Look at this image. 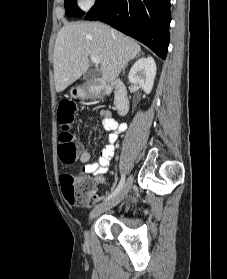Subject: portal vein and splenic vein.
I'll list each match as a JSON object with an SVG mask.
<instances>
[{"mask_svg":"<svg viewBox=\"0 0 227 279\" xmlns=\"http://www.w3.org/2000/svg\"><path fill=\"white\" fill-rule=\"evenodd\" d=\"M91 61H92L95 65H98V64L101 62L100 58L97 57V56H91Z\"/></svg>","mask_w":227,"mask_h":279,"instance_id":"18ae733b","label":"portal vein and splenic vein"}]
</instances>
